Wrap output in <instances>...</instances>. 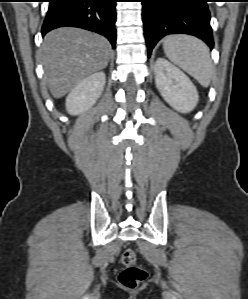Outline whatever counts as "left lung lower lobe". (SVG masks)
Returning a JSON list of instances; mask_svg holds the SVG:
<instances>
[{"instance_id": "0a47b994", "label": "left lung lower lobe", "mask_w": 248, "mask_h": 299, "mask_svg": "<svg viewBox=\"0 0 248 299\" xmlns=\"http://www.w3.org/2000/svg\"><path fill=\"white\" fill-rule=\"evenodd\" d=\"M144 32L150 56L157 42L168 34H190L213 48L208 0H141Z\"/></svg>"}]
</instances>
